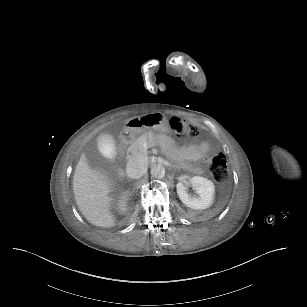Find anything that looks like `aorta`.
<instances>
[{"instance_id": "obj_1", "label": "aorta", "mask_w": 307, "mask_h": 307, "mask_svg": "<svg viewBox=\"0 0 307 307\" xmlns=\"http://www.w3.org/2000/svg\"><path fill=\"white\" fill-rule=\"evenodd\" d=\"M152 175H153V177H155L157 179L164 178L165 177V168L160 166V165L153 167Z\"/></svg>"}]
</instances>
